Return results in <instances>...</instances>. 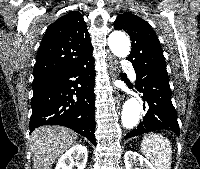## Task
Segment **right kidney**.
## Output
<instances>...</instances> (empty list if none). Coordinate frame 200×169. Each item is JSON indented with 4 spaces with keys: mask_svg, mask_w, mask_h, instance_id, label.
<instances>
[{
    "mask_svg": "<svg viewBox=\"0 0 200 169\" xmlns=\"http://www.w3.org/2000/svg\"><path fill=\"white\" fill-rule=\"evenodd\" d=\"M87 158V148L83 145H75L59 158L55 169H72L74 164L77 166V169H84Z\"/></svg>",
    "mask_w": 200,
    "mask_h": 169,
    "instance_id": "ca27d5eb",
    "label": "right kidney"
}]
</instances>
